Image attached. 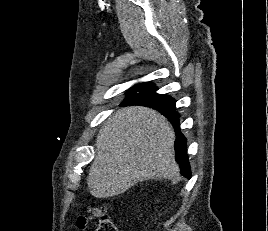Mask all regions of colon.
Here are the masks:
<instances>
[{"instance_id":"colon-1","label":"colon","mask_w":268,"mask_h":231,"mask_svg":"<svg viewBox=\"0 0 268 231\" xmlns=\"http://www.w3.org/2000/svg\"><path fill=\"white\" fill-rule=\"evenodd\" d=\"M92 219H97L96 231H118L112 218L103 210L94 211Z\"/></svg>"}]
</instances>
